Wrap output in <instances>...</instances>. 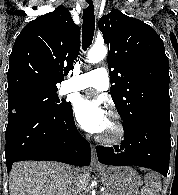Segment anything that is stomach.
<instances>
[{
    "mask_svg": "<svg viewBox=\"0 0 178 195\" xmlns=\"http://www.w3.org/2000/svg\"><path fill=\"white\" fill-rule=\"evenodd\" d=\"M107 195H138L140 176L128 166H110L98 170Z\"/></svg>",
    "mask_w": 178,
    "mask_h": 195,
    "instance_id": "obj_1",
    "label": "stomach"
}]
</instances>
